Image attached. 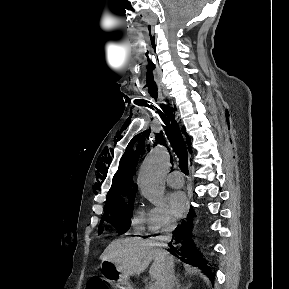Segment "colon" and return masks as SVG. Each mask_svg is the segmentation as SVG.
<instances>
[{
	"label": "colon",
	"mask_w": 289,
	"mask_h": 289,
	"mask_svg": "<svg viewBox=\"0 0 289 289\" xmlns=\"http://www.w3.org/2000/svg\"><path fill=\"white\" fill-rule=\"evenodd\" d=\"M86 289H109V287L104 280L94 277L88 281Z\"/></svg>",
	"instance_id": "colon-1"
}]
</instances>
